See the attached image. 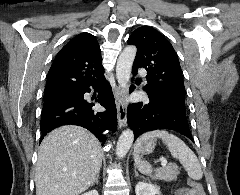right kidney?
Returning a JSON list of instances; mask_svg holds the SVG:
<instances>
[{
    "label": "right kidney",
    "instance_id": "obj_1",
    "mask_svg": "<svg viewBox=\"0 0 240 195\" xmlns=\"http://www.w3.org/2000/svg\"><path fill=\"white\" fill-rule=\"evenodd\" d=\"M82 195H99L97 189H91V191H86V193H82Z\"/></svg>",
    "mask_w": 240,
    "mask_h": 195
}]
</instances>
